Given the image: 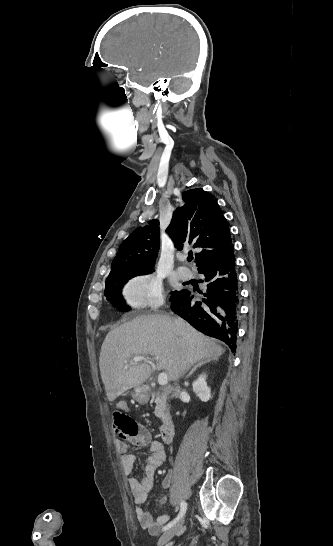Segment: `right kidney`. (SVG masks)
I'll return each mask as SVG.
<instances>
[{"instance_id": "1", "label": "right kidney", "mask_w": 333, "mask_h": 546, "mask_svg": "<svg viewBox=\"0 0 333 546\" xmlns=\"http://www.w3.org/2000/svg\"><path fill=\"white\" fill-rule=\"evenodd\" d=\"M192 387L201 401L207 402L211 398V390L207 386L206 374H200L193 382Z\"/></svg>"}]
</instances>
